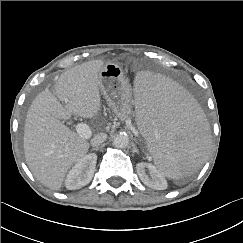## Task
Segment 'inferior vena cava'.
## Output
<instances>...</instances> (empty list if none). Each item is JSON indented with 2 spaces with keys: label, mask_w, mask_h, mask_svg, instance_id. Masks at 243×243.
I'll return each instance as SVG.
<instances>
[{
  "label": "inferior vena cava",
  "mask_w": 243,
  "mask_h": 243,
  "mask_svg": "<svg viewBox=\"0 0 243 243\" xmlns=\"http://www.w3.org/2000/svg\"><path fill=\"white\" fill-rule=\"evenodd\" d=\"M106 138H107V134L105 133L97 134L91 139V145L97 147L101 143H103L106 140Z\"/></svg>",
  "instance_id": "602c4592"
}]
</instances>
